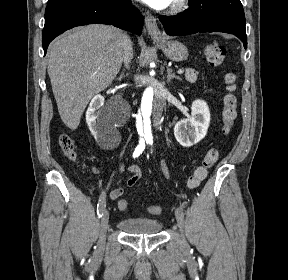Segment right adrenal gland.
<instances>
[{
	"label": "right adrenal gland",
	"mask_w": 288,
	"mask_h": 280,
	"mask_svg": "<svg viewBox=\"0 0 288 280\" xmlns=\"http://www.w3.org/2000/svg\"><path fill=\"white\" fill-rule=\"evenodd\" d=\"M124 77V73H122L119 77V79L121 80Z\"/></svg>",
	"instance_id": "obj_1"
}]
</instances>
